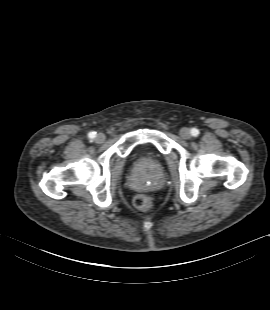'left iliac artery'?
<instances>
[{
    "label": "left iliac artery",
    "mask_w": 270,
    "mask_h": 310,
    "mask_svg": "<svg viewBox=\"0 0 270 310\" xmlns=\"http://www.w3.org/2000/svg\"><path fill=\"white\" fill-rule=\"evenodd\" d=\"M191 134H192V136L196 137V136H198V134H199V130L196 129V128H192V129H191Z\"/></svg>",
    "instance_id": "1"
}]
</instances>
